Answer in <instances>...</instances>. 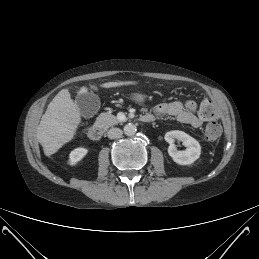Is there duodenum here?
<instances>
[{"label":"duodenum","mask_w":259,"mask_h":259,"mask_svg":"<svg viewBox=\"0 0 259 259\" xmlns=\"http://www.w3.org/2000/svg\"><path fill=\"white\" fill-rule=\"evenodd\" d=\"M140 120L144 123H150V122L154 121V117L151 114H144L140 117ZM103 133H104V130H103L102 126H100L98 124L90 127V129L88 131V135H89L90 139H92L94 141L100 140L103 136Z\"/></svg>","instance_id":"obj_1"}]
</instances>
